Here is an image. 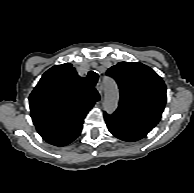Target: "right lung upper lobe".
Returning a JSON list of instances; mask_svg holds the SVG:
<instances>
[{
	"label": "right lung upper lobe",
	"mask_w": 194,
	"mask_h": 193,
	"mask_svg": "<svg viewBox=\"0 0 194 193\" xmlns=\"http://www.w3.org/2000/svg\"><path fill=\"white\" fill-rule=\"evenodd\" d=\"M100 96L70 63L46 71L29 96L31 117L44 140L71 133L82 125Z\"/></svg>",
	"instance_id": "1"
}]
</instances>
